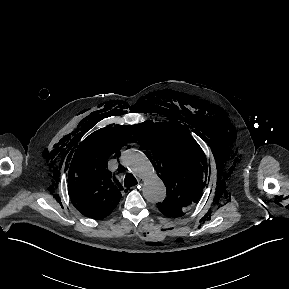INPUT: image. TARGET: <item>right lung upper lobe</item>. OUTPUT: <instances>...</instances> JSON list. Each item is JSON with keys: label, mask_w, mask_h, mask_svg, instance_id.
I'll return each instance as SVG.
<instances>
[{"label": "right lung upper lobe", "mask_w": 289, "mask_h": 289, "mask_svg": "<svg viewBox=\"0 0 289 289\" xmlns=\"http://www.w3.org/2000/svg\"><path fill=\"white\" fill-rule=\"evenodd\" d=\"M129 134L125 125L98 130L85 139L72 159L68 193L83 215L101 219L109 215L121 199L120 183L107 169V159L124 146Z\"/></svg>", "instance_id": "obj_1"}]
</instances>
